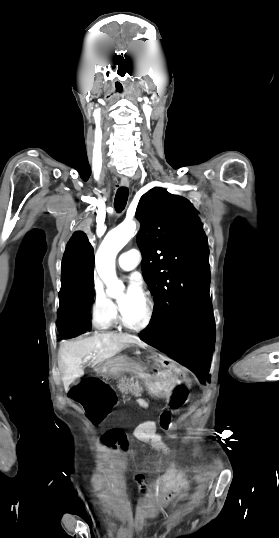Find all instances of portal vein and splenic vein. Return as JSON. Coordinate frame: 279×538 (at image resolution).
Masks as SVG:
<instances>
[{"label":"portal vein and splenic vein","mask_w":279,"mask_h":538,"mask_svg":"<svg viewBox=\"0 0 279 538\" xmlns=\"http://www.w3.org/2000/svg\"><path fill=\"white\" fill-rule=\"evenodd\" d=\"M90 358H92V356H87V358H85V360H90Z\"/></svg>","instance_id":"1"}]
</instances>
